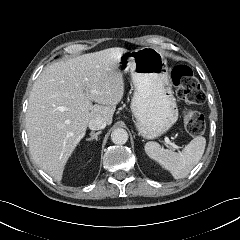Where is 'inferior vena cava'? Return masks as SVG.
I'll use <instances>...</instances> for the list:
<instances>
[{
  "label": "inferior vena cava",
  "instance_id": "inferior-vena-cava-1",
  "mask_svg": "<svg viewBox=\"0 0 240 240\" xmlns=\"http://www.w3.org/2000/svg\"><path fill=\"white\" fill-rule=\"evenodd\" d=\"M106 125V120L101 116L95 117L88 123V127L90 130H101L104 129Z\"/></svg>",
  "mask_w": 240,
  "mask_h": 240
}]
</instances>
